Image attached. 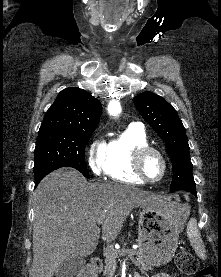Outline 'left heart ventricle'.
Returning <instances> with one entry per match:
<instances>
[{
	"instance_id": "b2bd125f",
	"label": "left heart ventricle",
	"mask_w": 221,
	"mask_h": 277,
	"mask_svg": "<svg viewBox=\"0 0 221 277\" xmlns=\"http://www.w3.org/2000/svg\"><path fill=\"white\" fill-rule=\"evenodd\" d=\"M143 171L149 179H157L162 173V163L157 155L149 154L143 162Z\"/></svg>"
}]
</instances>
